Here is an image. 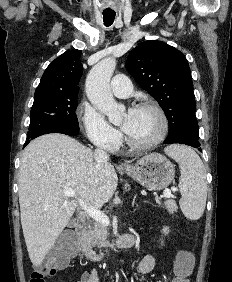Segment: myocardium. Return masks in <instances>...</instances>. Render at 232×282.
Here are the masks:
<instances>
[{"mask_svg":"<svg viewBox=\"0 0 232 282\" xmlns=\"http://www.w3.org/2000/svg\"><path fill=\"white\" fill-rule=\"evenodd\" d=\"M138 108L150 109L154 111L158 115L161 122L159 133L154 139L148 142H143V143L135 142L132 139H130L128 135L125 136V142L128 146L137 150H146L159 145L165 139L169 130V121L165 111L156 102L144 101L138 105Z\"/></svg>","mask_w":232,"mask_h":282,"instance_id":"myocardium-1","label":"myocardium"}]
</instances>
